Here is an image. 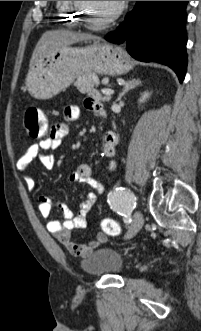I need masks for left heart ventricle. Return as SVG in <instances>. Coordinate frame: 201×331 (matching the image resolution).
Segmentation results:
<instances>
[{
  "label": "left heart ventricle",
  "mask_w": 201,
  "mask_h": 331,
  "mask_svg": "<svg viewBox=\"0 0 201 331\" xmlns=\"http://www.w3.org/2000/svg\"><path fill=\"white\" fill-rule=\"evenodd\" d=\"M85 18L90 22H100L111 15L119 1H83Z\"/></svg>",
  "instance_id": "left-heart-ventricle-1"
}]
</instances>
